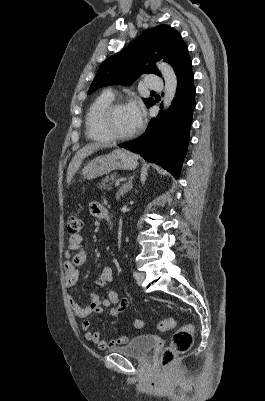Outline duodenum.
<instances>
[{"instance_id":"1","label":"duodenum","mask_w":265,"mask_h":401,"mask_svg":"<svg viewBox=\"0 0 265 401\" xmlns=\"http://www.w3.org/2000/svg\"><path fill=\"white\" fill-rule=\"evenodd\" d=\"M104 218L108 221L109 226L111 227V219H110V216H109L108 212H106Z\"/></svg>"}]
</instances>
